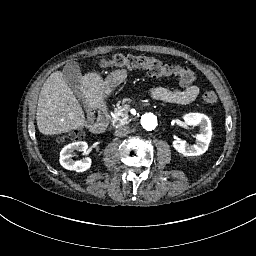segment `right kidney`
<instances>
[{
	"instance_id": "right-kidney-1",
	"label": "right kidney",
	"mask_w": 256,
	"mask_h": 256,
	"mask_svg": "<svg viewBox=\"0 0 256 256\" xmlns=\"http://www.w3.org/2000/svg\"><path fill=\"white\" fill-rule=\"evenodd\" d=\"M88 144L84 141L74 142L63 147L60 152V164L68 170H74L76 172H84L91 166V159L85 157L81 160L74 161L72 159L73 151H81L84 155L89 154Z\"/></svg>"
}]
</instances>
